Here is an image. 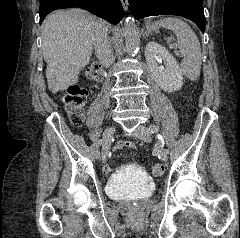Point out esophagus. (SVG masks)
<instances>
[{"label": "esophagus", "instance_id": "obj_1", "mask_svg": "<svg viewBox=\"0 0 240 238\" xmlns=\"http://www.w3.org/2000/svg\"><path fill=\"white\" fill-rule=\"evenodd\" d=\"M124 11L128 10V0H121Z\"/></svg>", "mask_w": 240, "mask_h": 238}]
</instances>
